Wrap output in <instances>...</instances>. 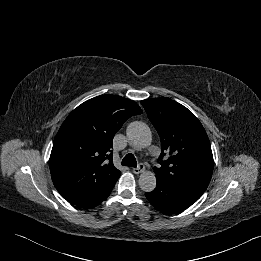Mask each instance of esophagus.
I'll list each match as a JSON object with an SVG mask.
<instances>
[{
  "mask_svg": "<svg viewBox=\"0 0 261 261\" xmlns=\"http://www.w3.org/2000/svg\"><path fill=\"white\" fill-rule=\"evenodd\" d=\"M144 170H145L144 164H143V163H140L137 168H133V169H132V172H133L134 174H140V173H142Z\"/></svg>",
  "mask_w": 261,
  "mask_h": 261,
  "instance_id": "34e87169",
  "label": "esophagus"
}]
</instances>
